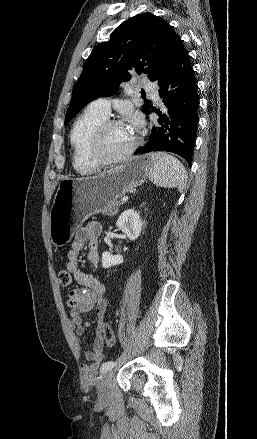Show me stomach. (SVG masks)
Segmentation results:
<instances>
[{
	"label": "stomach",
	"instance_id": "stomach-1",
	"mask_svg": "<svg viewBox=\"0 0 257 439\" xmlns=\"http://www.w3.org/2000/svg\"><path fill=\"white\" fill-rule=\"evenodd\" d=\"M153 165L152 154L140 155L93 177L62 180L50 210L52 242L68 243L88 217L144 183Z\"/></svg>",
	"mask_w": 257,
	"mask_h": 439
}]
</instances>
